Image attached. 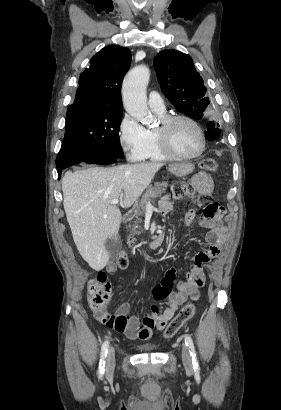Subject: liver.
<instances>
[{
	"instance_id": "1",
	"label": "liver",
	"mask_w": 281,
	"mask_h": 410,
	"mask_svg": "<svg viewBox=\"0 0 281 410\" xmlns=\"http://www.w3.org/2000/svg\"><path fill=\"white\" fill-rule=\"evenodd\" d=\"M163 163L91 167L68 171L62 180L63 205L74 243L89 266L102 270L109 261L107 239H117L122 214L113 199L123 197L132 206Z\"/></svg>"
}]
</instances>
